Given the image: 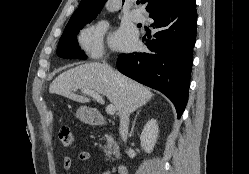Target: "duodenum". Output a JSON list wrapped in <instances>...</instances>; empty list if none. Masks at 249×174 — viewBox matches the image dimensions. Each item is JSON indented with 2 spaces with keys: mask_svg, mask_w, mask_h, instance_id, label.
I'll return each mask as SVG.
<instances>
[{
  "mask_svg": "<svg viewBox=\"0 0 249 174\" xmlns=\"http://www.w3.org/2000/svg\"><path fill=\"white\" fill-rule=\"evenodd\" d=\"M91 123L96 126L110 127V123L107 122L99 113L94 112L91 114ZM118 174H129L128 167L124 164H119L116 167Z\"/></svg>",
  "mask_w": 249,
  "mask_h": 174,
  "instance_id": "1",
  "label": "duodenum"
}]
</instances>
